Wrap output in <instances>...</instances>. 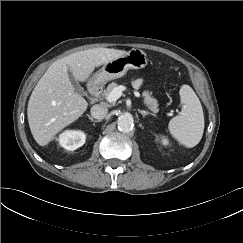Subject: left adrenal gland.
Segmentation results:
<instances>
[{"instance_id": "obj_1", "label": "left adrenal gland", "mask_w": 243, "mask_h": 243, "mask_svg": "<svg viewBox=\"0 0 243 243\" xmlns=\"http://www.w3.org/2000/svg\"><path fill=\"white\" fill-rule=\"evenodd\" d=\"M140 114H142L143 117H145L146 115H153L155 116L154 113H151V112H148V111H145V110H138Z\"/></svg>"}]
</instances>
